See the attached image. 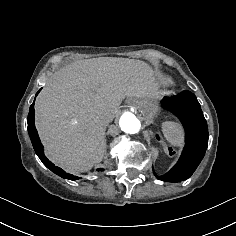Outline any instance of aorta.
I'll list each match as a JSON object with an SVG mask.
<instances>
[{"instance_id": "762f6f07", "label": "aorta", "mask_w": 236, "mask_h": 236, "mask_svg": "<svg viewBox=\"0 0 236 236\" xmlns=\"http://www.w3.org/2000/svg\"><path fill=\"white\" fill-rule=\"evenodd\" d=\"M119 126L125 133L136 134L141 128V123L133 113L124 112L119 120Z\"/></svg>"}]
</instances>
